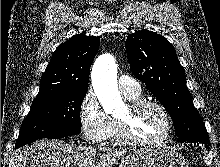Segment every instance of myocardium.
<instances>
[{
    "label": "myocardium",
    "mask_w": 220,
    "mask_h": 167,
    "mask_svg": "<svg viewBox=\"0 0 220 167\" xmlns=\"http://www.w3.org/2000/svg\"><path fill=\"white\" fill-rule=\"evenodd\" d=\"M146 106H153L157 108L165 118L166 130L164 134L157 139L143 140L137 138L133 133L132 123L134 117L142 108ZM127 108H128V116L125 118H120V117L117 118L118 136L122 143L137 147H155L165 143L170 138L173 132V120L169 111L162 103L151 99H137L131 101L128 104Z\"/></svg>",
    "instance_id": "myocardium-1"
}]
</instances>
